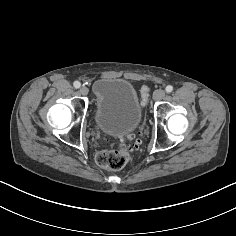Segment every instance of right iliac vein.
Here are the masks:
<instances>
[{
	"label": "right iliac vein",
	"instance_id": "obj_1",
	"mask_svg": "<svg viewBox=\"0 0 236 236\" xmlns=\"http://www.w3.org/2000/svg\"><path fill=\"white\" fill-rule=\"evenodd\" d=\"M79 92H80L81 95L86 96V95L88 94L89 90H88L87 87L82 86V87L79 89Z\"/></svg>",
	"mask_w": 236,
	"mask_h": 236
}]
</instances>
